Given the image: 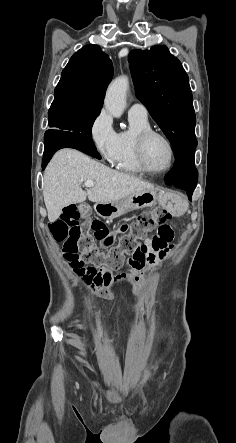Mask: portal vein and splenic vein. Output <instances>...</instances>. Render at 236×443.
Returning <instances> with one entry per match:
<instances>
[{
  "label": "portal vein and splenic vein",
  "instance_id": "obj_1",
  "mask_svg": "<svg viewBox=\"0 0 236 443\" xmlns=\"http://www.w3.org/2000/svg\"><path fill=\"white\" fill-rule=\"evenodd\" d=\"M85 187L92 188L94 187V182L92 180H87L84 182Z\"/></svg>",
  "mask_w": 236,
  "mask_h": 443
}]
</instances>
